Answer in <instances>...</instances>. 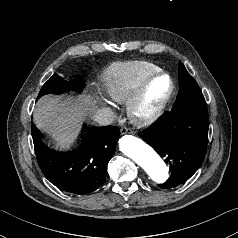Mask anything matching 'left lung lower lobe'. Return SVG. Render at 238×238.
<instances>
[{"label":"left lung lower lobe","instance_id":"obj_1","mask_svg":"<svg viewBox=\"0 0 238 238\" xmlns=\"http://www.w3.org/2000/svg\"><path fill=\"white\" fill-rule=\"evenodd\" d=\"M208 128L207 107H178L139 133L170 166V177L160 187H176L194 175L206 154Z\"/></svg>","mask_w":238,"mask_h":238}]
</instances>
